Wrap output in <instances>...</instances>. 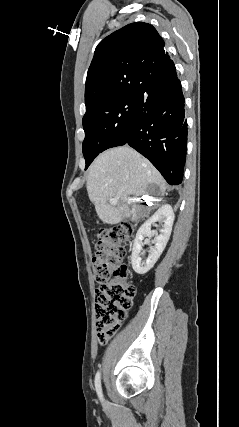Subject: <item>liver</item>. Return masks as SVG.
<instances>
[{
	"label": "liver",
	"instance_id": "6515ba94",
	"mask_svg": "<svg viewBox=\"0 0 239 427\" xmlns=\"http://www.w3.org/2000/svg\"><path fill=\"white\" fill-rule=\"evenodd\" d=\"M150 185L158 186L164 195L166 183L158 170L129 146H121L103 152L91 164L87 192L98 217L106 224H117L136 214L128 203L130 196L148 194ZM110 198H117V204H110Z\"/></svg>",
	"mask_w": 239,
	"mask_h": 427
}]
</instances>
